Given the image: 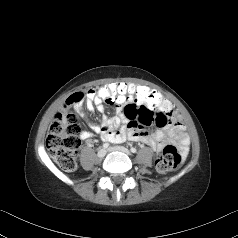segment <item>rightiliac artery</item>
<instances>
[{"instance_id": "obj_1", "label": "right iliac artery", "mask_w": 238, "mask_h": 238, "mask_svg": "<svg viewBox=\"0 0 238 238\" xmlns=\"http://www.w3.org/2000/svg\"><path fill=\"white\" fill-rule=\"evenodd\" d=\"M108 146H109V143H104L103 144V148L105 149V148H108Z\"/></svg>"}]
</instances>
